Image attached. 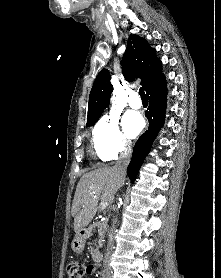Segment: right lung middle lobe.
Segmentation results:
<instances>
[{"instance_id":"1","label":"right lung middle lobe","mask_w":221,"mask_h":278,"mask_svg":"<svg viewBox=\"0 0 221 278\" xmlns=\"http://www.w3.org/2000/svg\"><path fill=\"white\" fill-rule=\"evenodd\" d=\"M87 127H89V126H93V124H88V125H86Z\"/></svg>"}]
</instances>
